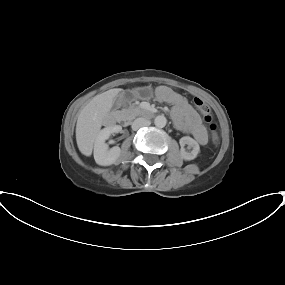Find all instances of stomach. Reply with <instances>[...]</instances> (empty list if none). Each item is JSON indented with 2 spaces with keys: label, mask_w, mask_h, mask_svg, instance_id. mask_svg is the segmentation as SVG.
<instances>
[{
  "label": "stomach",
  "mask_w": 285,
  "mask_h": 285,
  "mask_svg": "<svg viewBox=\"0 0 285 285\" xmlns=\"http://www.w3.org/2000/svg\"><path fill=\"white\" fill-rule=\"evenodd\" d=\"M152 96V90L149 87L136 88L131 92V98L147 100Z\"/></svg>",
  "instance_id": "0dacf381"
}]
</instances>
